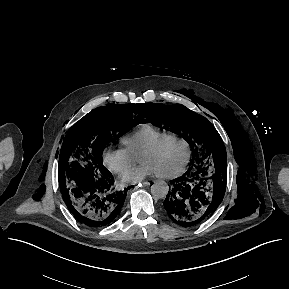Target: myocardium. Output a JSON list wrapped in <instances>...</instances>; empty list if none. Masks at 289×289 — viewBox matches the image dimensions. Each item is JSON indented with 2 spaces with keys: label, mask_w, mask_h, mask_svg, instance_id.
<instances>
[{
  "label": "myocardium",
  "mask_w": 289,
  "mask_h": 289,
  "mask_svg": "<svg viewBox=\"0 0 289 289\" xmlns=\"http://www.w3.org/2000/svg\"><path fill=\"white\" fill-rule=\"evenodd\" d=\"M170 140H178V141L182 142L186 148L187 153H186L185 161L183 162L182 166L179 169H177L176 171L171 172V173L157 174L158 177L164 178V179L176 178L186 171V169L190 163L191 157H192V148H191V145L188 142V140L179 134L171 133V134H168V135L164 136L163 138L159 139L158 141H156L155 143H153L152 145H150L149 147L144 149L139 154V158H140L143 155L153 153V152L157 151L165 142L170 141Z\"/></svg>",
  "instance_id": "myocardium-1"
}]
</instances>
